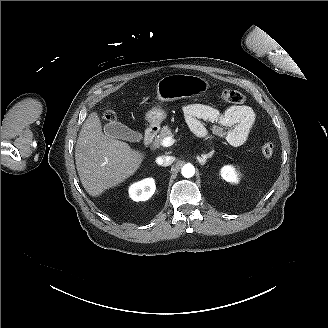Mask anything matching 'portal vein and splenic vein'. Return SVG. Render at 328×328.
Listing matches in <instances>:
<instances>
[{
	"label": "portal vein and splenic vein",
	"instance_id": "portal-vein-and-splenic-vein-1",
	"mask_svg": "<svg viewBox=\"0 0 328 328\" xmlns=\"http://www.w3.org/2000/svg\"><path fill=\"white\" fill-rule=\"evenodd\" d=\"M174 142H175V140L172 137H166V138L163 139L161 145L163 147H169V146L173 145Z\"/></svg>",
	"mask_w": 328,
	"mask_h": 328
}]
</instances>
